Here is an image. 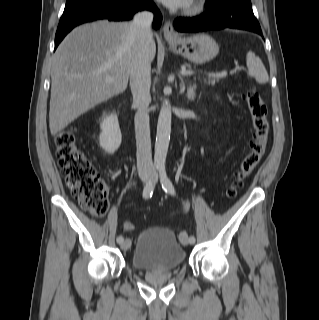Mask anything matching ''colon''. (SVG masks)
I'll return each mask as SVG.
<instances>
[{"label": "colon", "instance_id": "5ec220e1", "mask_svg": "<svg viewBox=\"0 0 319 320\" xmlns=\"http://www.w3.org/2000/svg\"><path fill=\"white\" fill-rule=\"evenodd\" d=\"M245 99L249 108L253 126V138L250 149L233 173L226 196L233 199L246 178L263 158L269 140L268 110L260 92L250 88ZM56 155L61 174L70 188L73 197L94 216H103L108 208L107 187L97 173L92 160L77 145L72 129H64L55 137ZM125 231H133L130 222L123 223Z\"/></svg>", "mask_w": 319, "mask_h": 320}]
</instances>
